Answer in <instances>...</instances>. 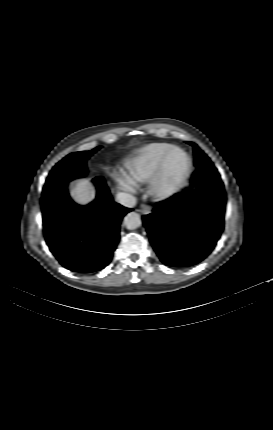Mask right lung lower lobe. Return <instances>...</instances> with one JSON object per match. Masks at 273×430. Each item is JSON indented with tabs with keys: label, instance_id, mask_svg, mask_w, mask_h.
I'll return each mask as SVG.
<instances>
[{
	"label": "right lung lower lobe",
	"instance_id": "right-lung-lower-lobe-1",
	"mask_svg": "<svg viewBox=\"0 0 273 430\" xmlns=\"http://www.w3.org/2000/svg\"><path fill=\"white\" fill-rule=\"evenodd\" d=\"M94 183L98 193L87 206L74 203L67 185L41 199L45 240L59 263L75 272L93 273L105 268L119 242L120 224L131 209L115 203L102 177Z\"/></svg>",
	"mask_w": 273,
	"mask_h": 430
}]
</instances>
